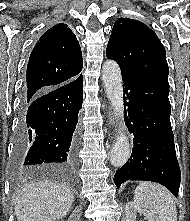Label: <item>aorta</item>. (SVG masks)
Masks as SVG:
<instances>
[{
    "label": "aorta",
    "instance_id": "1",
    "mask_svg": "<svg viewBox=\"0 0 190 221\" xmlns=\"http://www.w3.org/2000/svg\"><path fill=\"white\" fill-rule=\"evenodd\" d=\"M102 79L107 98L111 102L119 127L116 141L111 149L110 162L115 167H121L129 158L130 144L128 137L125 134L123 118L122 75L121 70L115 61L108 60L103 64Z\"/></svg>",
    "mask_w": 190,
    "mask_h": 221
}]
</instances>
